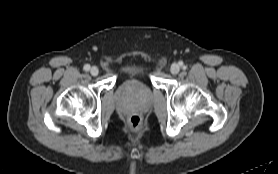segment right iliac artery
<instances>
[{
	"mask_svg": "<svg viewBox=\"0 0 278 174\" xmlns=\"http://www.w3.org/2000/svg\"><path fill=\"white\" fill-rule=\"evenodd\" d=\"M83 68H84L85 71H89L90 70V65L89 64H85Z\"/></svg>",
	"mask_w": 278,
	"mask_h": 174,
	"instance_id": "obj_1",
	"label": "right iliac artery"
}]
</instances>
